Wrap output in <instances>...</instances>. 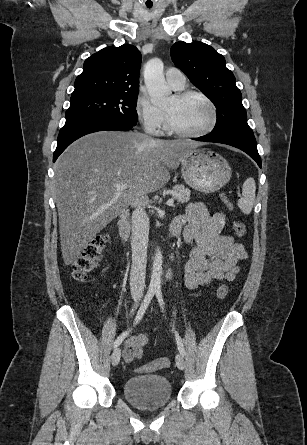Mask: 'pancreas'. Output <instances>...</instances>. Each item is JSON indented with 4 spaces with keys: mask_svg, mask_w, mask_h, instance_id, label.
Masks as SVG:
<instances>
[{
    "mask_svg": "<svg viewBox=\"0 0 307 445\" xmlns=\"http://www.w3.org/2000/svg\"><path fill=\"white\" fill-rule=\"evenodd\" d=\"M173 190L179 194V196H175L177 202H187V200H189L191 192L189 188H185L184 184H175ZM151 212H153V210H151Z\"/></svg>",
    "mask_w": 307,
    "mask_h": 445,
    "instance_id": "cf45deb5",
    "label": "pancreas"
}]
</instances>
